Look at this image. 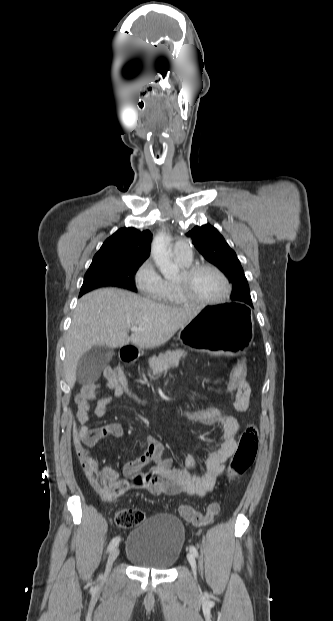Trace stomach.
Here are the masks:
<instances>
[{
  "instance_id": "0dacf381",
  "label": "stomach",
  "mask_w": 333,
  "mask_h": 621,
  "mask_svg": "<svg viewBox=\"0 0 333 621\" xmlns=\"http://www.w3.org/2000/svg\"><path fill=\"white\" fill-rule=\"evenodd\" d=\"M251 322L252 311L242 304L207 306L180 329L178 338L191 348L202 347L206 358L224 352L240 362L250 349Z\"/></svg>"
}]
</instances>
